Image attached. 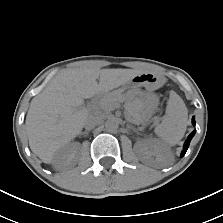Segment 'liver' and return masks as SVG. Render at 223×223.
Instances as JSON below:
<instances>
[{
    "label": "liver",
    "mask_w": 223,
    "mask_h": 223,
    "mask_svg": "<svg viewBox=\"0 0 223 223\" xmlns=\"http://www.w3.org/2000/svg\"><path fill=\"white\" fill-rule=\"evenodd\" d=\"M141 73L133 69L94 67L57 75L31 102L26 118L31 150L44 163H51L56 151L84 127L89 117L88 109L83 106L84 99L123 86Z\"/></svg>",
    "instance_id": "6515ba94"
}]
</instances>
